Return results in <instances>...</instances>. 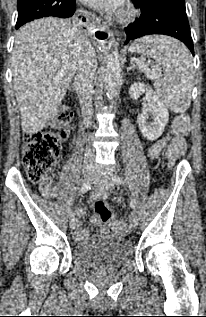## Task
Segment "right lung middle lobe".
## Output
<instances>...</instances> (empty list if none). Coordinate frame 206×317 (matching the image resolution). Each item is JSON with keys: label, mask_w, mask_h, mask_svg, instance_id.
<instances>
[{"label": "right lung middle lobe", "mask_w": 206, "mask_h": 317, "mask_svg": "<svg viewBox=\"0 0 206 317\" xmlns=\"http://www.w3.org/2000/svg\"><path fill=\"white\" fill-rule=\"evenodd\" d=\"M70 0H18V19L16 28L26 22L42 17H57V8Z\"/></svg>", "instance_id": "obj_1"}]
</instances>
